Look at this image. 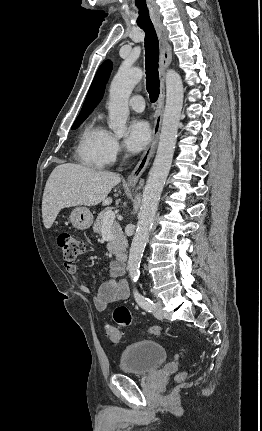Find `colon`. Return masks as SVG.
<instances>
[{"label":"colon","mask_w":262,"mask_h":431,"mask_svg":"<svg viewBox=\"0 0 262 431\" xmlns=\"http://www.w3.org/2000/svg\"><path fill=\"white\" fill-rule=\"evenodd\" d=\"M57 241L61 249L63 259L67 264L74 263L84 252L85 244L83 239L72 233L60 234ZM112 317L120 327H129L133 321L130 310L123 305L117 306L113 310ZM105 331L113 343H118L121 340V333L117 327L111 324H106ZM148 331L153 335H162L164 333L162 328L155 326L150 327ZM185 378V372H182L177 376L178 380H184Z\"/></svg>","instance_id":"colon-1"}]
</instances>
